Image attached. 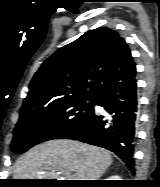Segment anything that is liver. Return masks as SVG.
<instances>
[{"instance_id":"obj_1","label":"liver","mask_w":160,"mask_h":187,"mask_svg":"<svg viewBox=\"0 0 160 187\" xmlns=\"http://www.w3.org/2000/svg\"><path fill=\"white\" fill-rule=\"evenodd\" d=\"M112 164L103 148L73 140H53L37 145L17 162L14 179H56L74 172L76 180H98Z\"/></svg>"}]
</instances>
